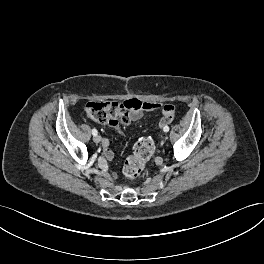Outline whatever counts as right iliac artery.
I'll return each mask as SVG.
<instances>
[{
	"label": "right iliac artery",
	"mask_w": 264,
	"mask_h": 264,
	"mask_svg": "<svg viewBox=\"0 0 264 264\" xmlns=\"http://www.w3.org/2000/svg\"><path fill=\"white\" fill-rule=\"evenodd\" d=\"M92 134L95 136L98 134L97 130L96 129H92Z\"/></svg>",
	"instance_id": "82829eb1"
}]
</instances>
